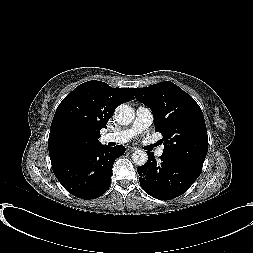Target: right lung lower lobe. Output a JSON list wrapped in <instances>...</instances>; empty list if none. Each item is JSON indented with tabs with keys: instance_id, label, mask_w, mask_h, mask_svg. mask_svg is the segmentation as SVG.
I'll list each match as a JSON object with an SVG mask.
<instances>
[{
	"instance_id": "right-lung-lower-lobe-1",
	"label": "right lung lower lobe",
	"mask_w": 253,
	"mask_h": 253,
	"mask_svg": "<svg viewBox=\"0 0 253 253\" xmlns=\"http://www.w3.org/2000/svg\"><path fill=\"white\" fill-rule=\"evenodd\" d=\"M124 152L122 145H98L52 163V169L70 194L85 200L95 199L108 190L114 161Z\"/></svg>"
}]
</instances>
